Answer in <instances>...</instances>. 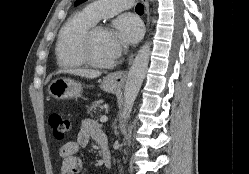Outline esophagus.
<instances>
[{"instance_id":"obj_1","label":"esophagus","mask_w":249,"mask_h":174,"mask_svg":"<svg viewBox=\"0 0 249 174\" xmlns=\"http://www.w3.org/2000/svg\"><path fill=\"white\" fill-rule=\"evenodd\" d=\"M145 6L147 22L149 21V3L148 0H142ZM134 55L129 58V64L132 63ZM110 79L118 86H123L127 80V71H116L110 74Z\"/></svg>"}]
</instances>
